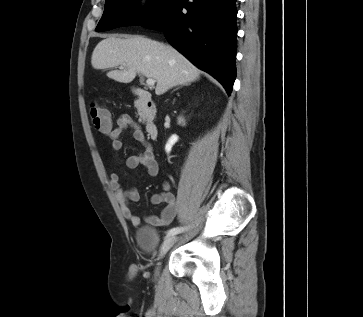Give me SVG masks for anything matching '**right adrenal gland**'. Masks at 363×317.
Masks as SVG:
<instances>
[{"label": "right adrenal gland", "instance_id": "right-adrenal-gland-1", "mask_svg": "<svg viewBox=\"0 0 363 317\" xmlns=\"http://www.w3.org/2000/svg\"><path fill=\"white\" fill-rule=\"evenodd\" d=\"M183 85H190V84H183ZM183 85H181V86H183ZM181 86H179L176 89H174V91L177 90V89H179Z\"/></svg>", "mask_w": 363, "mask_h": 317}]
</instances>
